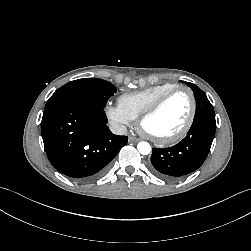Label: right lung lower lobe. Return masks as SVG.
Wrapping results in <instances>:
<instances>
[{
    "instance_id": "98d812e1",
    "label": "right lung lower lobe",
    "mask_w": 251,
    "mask_h": 251,
    "mask_svg": "<svg viewBox=\"0 0 251 251\" xmlns=\"http://www.w3.org/2000/svg\"><path fill=\"white\" fill-rule=\"evenodd\" d=\"M103 108L64 102L44 109L41 131L51 164L62 174L89 181L106 172L128 137L114 135Z\"/></svg>"
}]
</instances>
